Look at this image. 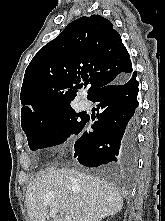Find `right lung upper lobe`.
<instances>
[{"mask_svg": "<svg viewBox=\"0 0 165 221\" xmlns=\"http://www.w3.org/2000/svg\"><path fill=\"white\" fill-rule=\"evenodd\" d=\"M133 73L130 56L113 24L100 15L82 16L42 47L28 65L21 89V123L71 106L81 80L88 96Z\"/></svg>", "mask_w": 165, "mask_h": 221, "instance_id": "obj_1", "label": "right lung upper lobe"}]
</instances>
